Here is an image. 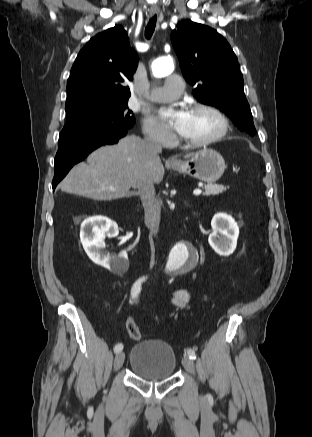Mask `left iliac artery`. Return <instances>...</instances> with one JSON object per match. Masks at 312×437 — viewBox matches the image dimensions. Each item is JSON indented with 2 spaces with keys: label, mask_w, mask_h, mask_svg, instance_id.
<instances>
[{
  "label": "left iliac artery",
  "mask_w": 312,
  "mask_h": 437,
  "mask_svg": "<svg viewBox=\"0 0 312 437\" xmlns=\"http://www.w3.org/2000/svg\"><path fill=\"white\" fill-rule=\"evenodd\" d=\"M186 351H187V354H188L190 359H192V360L196 359V353L193 349L188 348Z\"/></svg>",
  "instance_id": "1"
}]
</instances>
